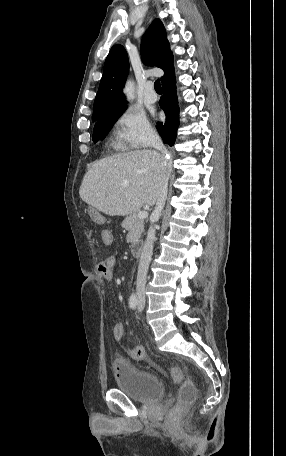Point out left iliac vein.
<instances>
[{"mask_svg":"<svg viewBox=\"0 0 286 456\" xmlns=\"http://www.w3.org/2000/svg\"><path fill=\"white\" fill-rule=\"evenodd\" d=\"M145 306V300L144 298H140L138 302V311H142Z\"/></svg>","mask_w":286,"mask_h":456,"instance_id":"obj_1","label":"left iliac vein"}]
</instances>
